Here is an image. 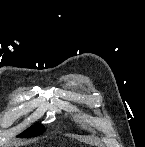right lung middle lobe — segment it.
Segmentation results:
<instances>
[{"mask_svg":"<svg viewBox=\"0 0 145 147\" xmlns=\"http://www.w3.org/2000/svg\"><path fill=\"white\" fill-rule=\"evenodd\" d=\"M43 131H44V126L37 124L25 130L20 136L33 137V136L41 134Z\"/></svg>","mask_w":145,"mask_h":147,"instance_id":"dd1d6c3e","label":"right lung middle lobe"}]
</instances>
